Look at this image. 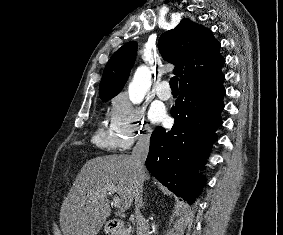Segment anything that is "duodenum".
Wrapping results in <instances>:
<instances>
[{
	"label": "duodenum",
	"mask_w": 283,
	"mask_h": 235,
	"mask_svg": "<svg viewBox=\"0 0 283 235\" xmlns=\"http://www.w3.org/2000/svg\"><path fill=\"white\" fill-rule=\"evenodd\" d=\"M106 228L114 233H120L123 229V223L120 220H109L106 223Z\"/></svg>",
	"instance_id": "obj_1"
}]
</instances>
